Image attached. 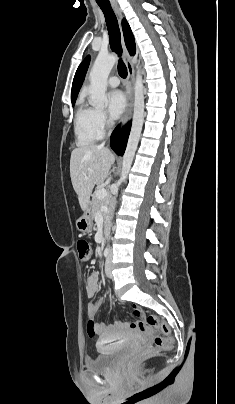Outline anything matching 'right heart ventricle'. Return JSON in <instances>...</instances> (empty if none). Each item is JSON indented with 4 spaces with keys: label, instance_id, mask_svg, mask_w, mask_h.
<instances>
[{
    "label": "right heart ventricle",
    "instance_id": "obj_1",
    "mask_svg": "<svg viewBox=\"0 0 235 404\" xmlns=\"http://www.w3.org/2000/svg\"><path fill=\"white\" fill-rule=\"evenodd\" d=\"M94 111L84 99H80L74 118V134L79 146L93 144L101 137L102 132L96 126Z\"/></svg>",
    "mask_w": 235,
    "mask_h": 404
}]
</instances>
